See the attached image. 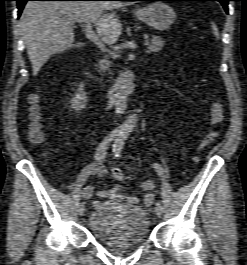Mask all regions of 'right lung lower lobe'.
Masks as SVG:
<instances>
[{
    "mask_svg": "<svg viewBox=\"0 0 247 265\" xmlns=\"http://www.w3.org/2000/svg\"><path fill=\"white\" fill-rule=\"evenodd\" d=\"M18 3V16H20L22 9L27 1H130V0H16Z\"/></svg>",
    "mask_w": 247,
    "mask_h": 265,
    "instance_id": "right-lung-lower-lobe-1",
    "label": "right lung lower lobe"
}]
</instances>
